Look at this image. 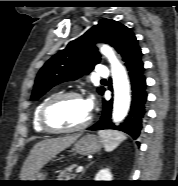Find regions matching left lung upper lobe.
<instances>
[{
  "label": "left lung upper lobe",
  "mask_w": 178,
  "mask_h": 186,
  "mask_svg": "<svg viewBox=\"0 0 178 186\" xmlns=\"http://www.w3.org/2000/svg\"><path fill=\"white\" fill-rule=\"evenodd\" d=\"M95 43H108L114 47L125 65L141 53L138 41L128 27L111 19H102L44 64L36 77L31 100H38L59 83L73 81L89 73L100 62ZM97 91L102 95L105 89L100 87Z\"/></svg>",
  "instance_id": "left-lung-upper-lobe-1"
}]
</instances>
